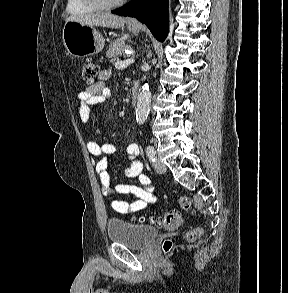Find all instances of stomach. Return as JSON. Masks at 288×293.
<instances>
[{"mask_svg": "<svg viewBox=\"0 0 288 293\" xmlns=\"http://www.w3.org/2000/svg\"><path fill=\"white\" fill-rule=\"evenodd\" d=\"M129 31L138 33V25L128 24ZM63 44L73 57H87L102 51L105 40L103 36L92 26L77 21L65 23L62 31Z\"/></svg>", "mask_w": 288, "mask_h": 293, "instance_id": "obj_1", "label": "stomach"}]
</instances>
